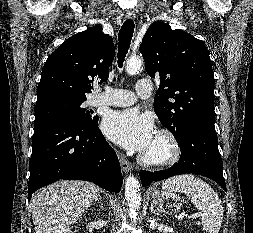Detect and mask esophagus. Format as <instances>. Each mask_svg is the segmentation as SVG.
I'll return each mask as SVG.
<instances>
[{"label":"esophagus","mask_w":253,"mask_h":233,"mask_svg":"<svg viewBox=\"0 0 253 233\" xmlns=\"http://www.w3.org/2000/svg\"><path fill=\"white\" fill-rule=\"evenodd\" d=\"M135 17V13L132 11H129L125 14V18L126 19H133ZM118 157H119V161H120V165L122 170L125 173H128L132 170V166L130 164V162L128 161V159L126 158V156L122 153H118Z\"/></svg>","instance_id":"esophagus-1"}]
</instances>
